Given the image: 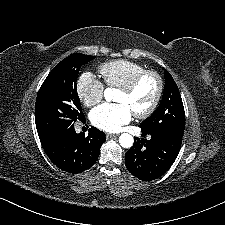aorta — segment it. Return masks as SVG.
Here are the masks:
<instances>
[{
	"label": "aorta",
	"mask_w": 225,
	"mask_h": 225,
	"mask_svg": "<svg viewBox=\"0 0 225 225\" xmlns=\"http://www.w3.org/2000/svg\"><path fill=\"white\" fill-rule=\"evenodd\" d=\"M113 96V92L112 89L107 88L104 91V97L107 101H110L112 99ZM134 142V139L132 137V135L128 134V133H123L120 135L119 137V143L123 148H130L132 147Z\"/></svg>",
	"instance_id": "aorta-1"
}]
</instances>
